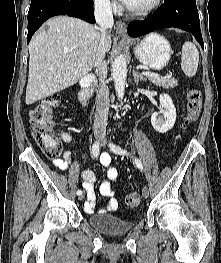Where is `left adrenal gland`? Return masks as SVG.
<instances>
[{"instance_id":"obj_1","label":"left adrenal gland","mask_w":221,"mask_h":263,"mask_svg":"<svg viewBox=\"0 0 221 263\" xmlns=\"http://www.w3.org/2000/svg\"><path fill=\"white\" fill-rule=\"evenodd\" d=\"M133 77L136 84H138L139 81H146V78L139 74L136 70H133Z\"/></svg>"}]
</instances>
